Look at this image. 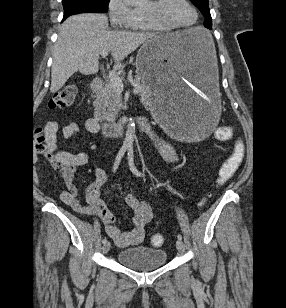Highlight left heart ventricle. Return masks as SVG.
<instances>
[{"instance_id":"b2bd125f","label":"left heart ventricle","mask_w":286,"mask_h":308,"mask_svg":"<svg viewBox=\"0 0 286 308\" xmlns=\"http://www.w3.org/2000/svg\"><path fill=\"white\" fill-rule=\"evenodd\" d=\"M157 12L158 9L154 1L150 2L145 12ZM161 13L169 21L178 25H189L195 20L194 11L185 3L184 0H167L160 8Z\"/></svg>"}]
</instances>
